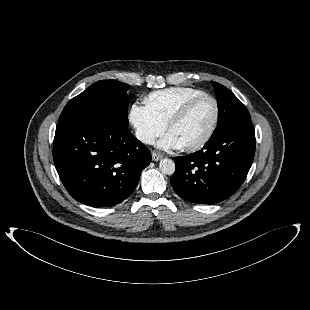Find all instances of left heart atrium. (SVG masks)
<instances>
[{"mask_svg":"<svg viewBox=\"0 0 310 310\" xmlns=\"http://www.w3.org/2000/svg\"><path fill=\"white\" fill-rule=\"evenodd\" d=\"M157 146L163 150H172L181 147V144L178 138L169 132L157 143Z\"/></svg>","mask_w":310,"mask_h":310,"instance_id":"1","label":"left heart atrium"}]
</instances>
